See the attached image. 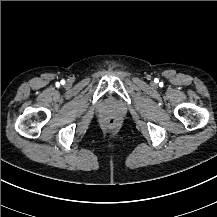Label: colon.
I'll return each mask as SVG.
<instances>
[{
  "label": "colon",
  "mask_w": 217,
  "mask_h": 217,
  "mask_svg": "<svg viewBox=\"0 0 217 217\" xmlns=\"http://www.w3.org/2000/svg\"><path fill=\"white\" fill-rule=\"evenodd\" d=\"M108 124H109V126L114 127V126H116L117 121H116V119L111 118V119H109Z\"/></svg>",
  "instance_id": "colon-1"
}]
</instances>
